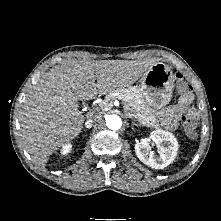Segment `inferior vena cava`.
Here are the masks:
<instances>
[{
  "instance_id": "602c4592",
  "label": "inferior vena cava",
  "mask_w": 221,
  "mask_h": 221,
  "mask_svg": "<svg viewBox=\"0 0 221 221\" xmlns=\"http://www.w3.org/2000/svg\"><path fill=\"white\" fill-rule=\"evenodd\" d=\"M99 120H100V117L94 115V116H92L90 119H88V120L86 121V125H87V126H91L93 123H95L96 121H99Z\"/></svg>"
}]
</instances>
